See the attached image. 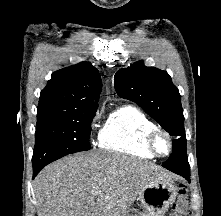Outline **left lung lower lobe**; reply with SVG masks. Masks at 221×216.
Segmentation results:
<instances>
[{"instance_id":"left-lung-lower-lobe-1","label":"left lung lower lobe","mask_w":221,"mask_h":216,"mask_svg":"<svg viewBox=\"0 0 221 216\" xmlns=\"http://www.w3.org/2000/svg\"><path fill=\"white\" fill-rule=\"evenodd\" d=\"M172 160L174 161L173 167L168 170L183 176L190 182V167L185 152L176 151L172 153Z\"/></svg>"}]
</instances>
